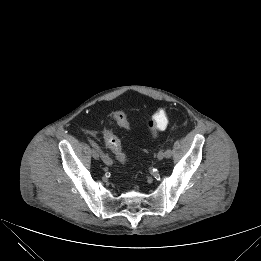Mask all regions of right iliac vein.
I'll return each mask as SVG.
<instances>
[{
    "label": "right iliac vein",
    "instance_id": "right-iliac-vein-1",
    "mask_svg": "<svg viewBox=\"0 0 261 261\" xmlns=\"http://www.w3.org/2000/svg\"><path fill=\"white\" fill-rule=\"evenodd\" d=\"M90 154L94 160H98L100 158L99 153L95 149H91Z\"/></svg>",
    "mask_w": 261,
    "mask_h": 261
}]
</instances>
